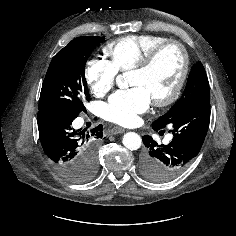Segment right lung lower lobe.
<instances>
[{
    "instance_id": "1",
    "label": "right lung lower lobe",
    "mask_w": 236,
    "mask_h": 236,
    "mask_svg": "<svg viewBox=\"0 0 236 236\" xmlns=\"http://www.w3.org/2000/svg\"><path fill=\"white\" fill-rule=\"evenodd\" d=\"M77 116L56 111L38 112L40 142L47 157L68 180L78 182L81 169L92 159H97L102 126L90 132L74 129L72 122Z\"/></svg>"
}]
</instances>
